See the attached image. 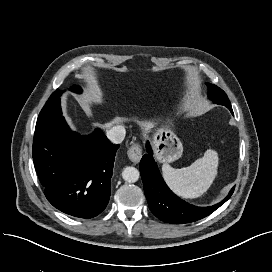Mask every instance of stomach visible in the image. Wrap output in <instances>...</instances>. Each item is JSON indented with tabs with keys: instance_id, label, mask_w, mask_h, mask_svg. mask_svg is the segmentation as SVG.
<instances>
[{
	"instance_id": "obj_1",
	"label": "stomach",
	"mask_w": 272,
	"mask_h": 272,
	"mask_svg": "<svg viewBox=\"0 0 272 272\" xmlns=\"http://www.w3.org/2000/svg\"><path fill=\"white\" fill-rule=\"evenodd\" d=\"M152 139L155 156L158 161L170 163L182 156V142L168 124L157 128L152 134Z\"/></svg>"
}]
</instances>
